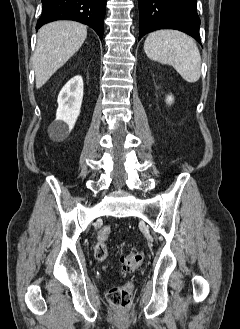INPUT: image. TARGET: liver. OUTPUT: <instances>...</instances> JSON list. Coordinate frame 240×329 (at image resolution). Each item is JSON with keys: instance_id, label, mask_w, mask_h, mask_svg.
Masks as SVG:
<instances>
[{"instance_id": "1", "label": "liver", "mask_w": 240, "mask_h": 329, "mask_svg": "<svg viewBox=\"0 0 240 329\" xmlns=\"http://www.w3.org/2000/svg\"><path fill=\"white\" fill-rule=\"evenodd\" d=\"M86 37V26L73 21H55L38 31L33 57L37 89L79 50Z\"/></svg>"}]
</instances>
